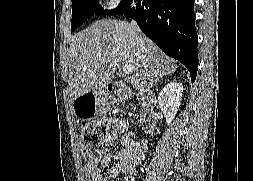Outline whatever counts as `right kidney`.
Returning a JSON list of instances; mask_svg holds the SVG:
<instances>
[{"label":"right kidney","mask_w":253,"mask_h":181,"mask_svg":"<svg viewBox=\"0 0 253 181\" xmlns=\"http://www.w3.org/2000/svg\"><path fill=\"white\" fill-rule=\"evenodd\" d=\"M183 92V85L179 82L172 81L168 83L158 95V104L164 113L167 125H170L174 119Z\"/></svg>","instance_id":"1"}]
</instances>
